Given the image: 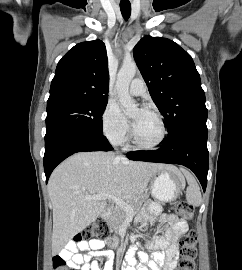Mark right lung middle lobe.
<instances>
[{
    "label": "right lung middle lobe",
    "instance_id": "obj_1",
    "mask_svg": "<svg viewBox=\"0 0 242 270\" xmlns=\"http://www.w3.org/2000/svg\"><path fill=\"white\" fill-rule=\"evenodd\" d=\"M105 101H64L47 105L46 135L59 130H80L102 135Z\"/></svg>",
    "mask_w": 242,
    "mask_h": 270
}]
</instances>
